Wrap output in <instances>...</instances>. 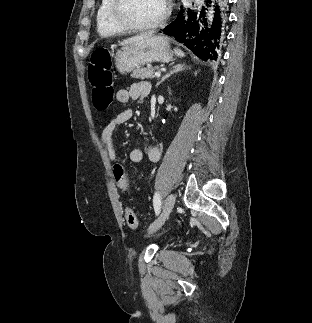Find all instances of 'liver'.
<instances>
[{"label":"liver","instance_id":"obj_1","mask_svg":"<svg viewBox=\"0 0 312 323\" xmlns=\"http://www.w3.org/2000/svg\"><path fill=\"white\" fill-rule=\"evenodd\" d=\"M152 34H140V36H133V38H127L123 42H119V46H126V44H131V42H137V40H143V38H151Z\"/></svg>","mask_w":312,"mask_h":323}]
</instances>
